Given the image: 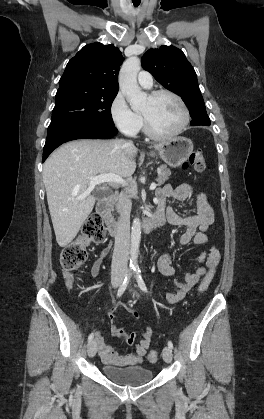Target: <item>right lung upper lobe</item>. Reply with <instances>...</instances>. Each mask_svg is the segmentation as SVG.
<instances>
[{
	"label": "right lung upper lobe",
	"mask_w": 264,
	"mask_h": 419,
	"mask_svg": "<svg viewBox=\"0 0 264 419\" xmlns=\"http://www.w3.org/2000/svg\"><path fill=\"white\" fill-rule=\"evenodd\" d=\"M122 62V54L113 44L86 45L68 62L59 86L78 84L95 91L117 93Z\"/></svg>",
	"instance_id": "1"
}]
</instances>
